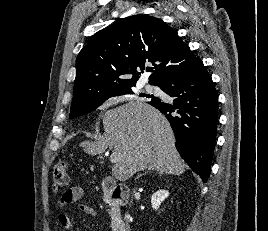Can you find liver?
I'll return each mask as SVG.
<instances>
[{
	"label": "liver",
	"mask_w": 268,
	"mask_h": 231,
	"mask_svg": "<svg viewBox=\"0 0 268 231\" xmlns=\"http://www.w3.org/2000/svg\"><path fill=\"white\" fill-rule=\"evenodd\" d=\"M104 136L95 142L80 144L91 155L113 148L119 158L112 175L126 181L141 170L181 175L187 164L175 148L172 128L156 108L138 99L106 111L103 115Z\"/></svg>",
	"instance_id": "liver-1"
}]
</instances>
